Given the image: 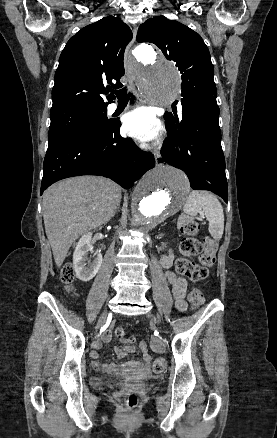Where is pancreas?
I'll return each instance as SVG.
<instances>
[{"mask_svg":"<svg viewBox=\"0 0 277 438\" xmlns=\"http://www.w3.org/2000/svg\"><path fill=\"white\" fill-rule=\"evenodd\" d=\"M181 221H182V223H191V221H192L191 214H182Z\"/></svg>","mask_w":277,"mask_h":438,"instance_id":"cf45deb5","label":"pancreas"}]
</instances>
